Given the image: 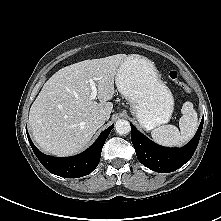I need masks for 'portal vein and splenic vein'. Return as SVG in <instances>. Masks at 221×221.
<instances>
[{
    "instance_id": "18ae733b",
    "label": "portal vein and splenic vein",
    "mask_w": 221,
    "mask_h": 221,
    "mask_svg": "<svg viewBox=\"0 0 221 221\" xmlns=\"http://www.w3.org/2000/svg\"><path fill=\"white\" fill-rule=\"evenodd\" d=\"M90 88H91V94H90V99L95 100L97 96V87L94 79L89 80Z\"/></svg>"
}]
</instances>
